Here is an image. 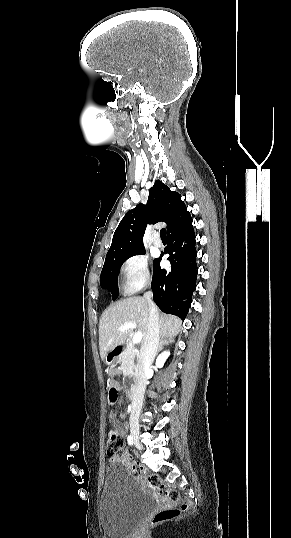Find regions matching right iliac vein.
<instances>
[{"mask_svg":"<svg viewBox=\"0 0 291 538\" xmlns=\"http://www.w3.org/2000/svg\"><path fill=\"white\" fill-rule=\"evenodd\" d=\"M130 431H131V436L133 438V442L135 444V446L139 449L142 448V445L140 443V440H139V424L135 421L131 422L130 424Z\"/></svg>","mask_w":291,"mask_h":538,"instance_id":"63e3f726","label":"right iliac vein"}]
</instances>
